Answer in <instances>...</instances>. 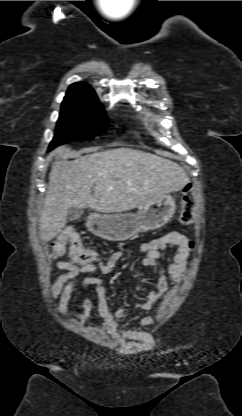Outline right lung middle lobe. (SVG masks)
I'll return each instance as SVG.
<instances>
[{"label": "right lung middle lobe", "mask_w": 242, "mask_h": 416, "mask_svg": "<svg viewBox=\"0 0 242 416\" xmlns=\"http://www.w3.org/2000/svg\"><path fill=\"white\" fill-rule=\"evenodd\" d=\"M107 128L108 119L101 103H62L56 133L49 150L70 141L90 140L103 134Z\"/></svg>", "instance_id": "obj_1"}]
</instances>
